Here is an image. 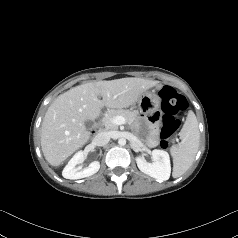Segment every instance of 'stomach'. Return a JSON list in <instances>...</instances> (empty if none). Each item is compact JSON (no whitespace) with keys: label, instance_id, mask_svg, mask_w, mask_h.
<instances>
[{"label":"stomach","instance_id":"0dacf381","mask_svg":"<svg viewBox=\"0 0 238 238\" xmlns=\"http://www.w3.org/2000/svg\"><path fill=\"white\" fill-rule=\"evenodd\" d=\"M136 103L140 112L150 113L153 110H158L160 98L155 93L145 91Z\"/></svg>","mask_w":238,"mask_h":238}]
</instances>
